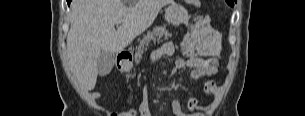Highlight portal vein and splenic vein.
<instances>
[{"mask_svg":"<svg viewBox=\"0 0 305 116\" xmlns=\"http://www.w3.org/2000/svg\"><path fill=\"white\" fill-rule=\"evenodd\" d=\"M115 24L118 26V25H120V24H121V21H120V20H118V21H116V22H115Z\"/></svg>","mask_w":305,"mask_h":116,"instance_id":"obj_1","label":"portal vein and splenic vein"}]
</instances>
